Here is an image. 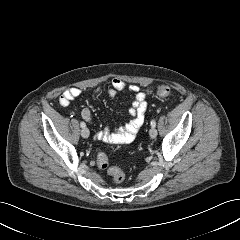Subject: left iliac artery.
Wrapping results in <instances>:
<instances>
[{
	"label": "left iliac artery",
	"instance_id": "left-iliac-artery-1",
	"mask_svg": "<svg viewBox=\"0 0 240 240\" xmlns=\"http://www.w3.org/2000/svg\"><path fill=\"white\" fill-rule=\"evenodd\" d=\"M151 126H152V127H155V126H156V121H155L154 119L151 121Z\"/></svg>",
	"mask_w": 240,
	"mask_h": 240
}]
</instances>
